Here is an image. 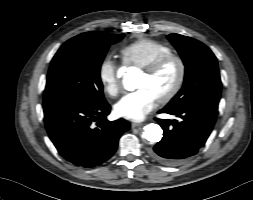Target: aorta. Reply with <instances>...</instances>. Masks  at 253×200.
<instances>
[{"instance_id": "1", "label": "aorta", "mask_w": 253, "mask_h": 200, "mask_svg": "<svg viewBox=\"0 0 253 200\" xmlns=\"http://www.w3.org/2000/svg\"><path fill=\"white\" fill-rule=\"evenodd\" d=\"M123 86L128 91L136 88L135 79L132 74L128 73L124 75ZM143 137L152 143L159 142L162 138V129L159 125L150 123L144 127Z\"/></svg>"}]
</instances>
